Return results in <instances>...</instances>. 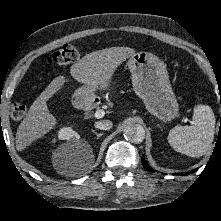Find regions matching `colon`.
I'll return each instance as SVG.
<instances>
[{"mask_svg": "<svg viewBox=\"0 0 221 221\" xmlns=\"http://www.w3.org/2000/svg\"><path fill=\"white\" fill-rule=\"evenodd\" d=\"M80 58L79 49L72 44H65L59 47L55 52L47 57L45 64L47 66H64L77 62ZM26 113V107L21 103H14L11 108V117L13 120H21Z\"/></svg>", "mask_w": 221, "mask_h": 221, "instance_id": "1", "label": "colon"}]
</instances>
